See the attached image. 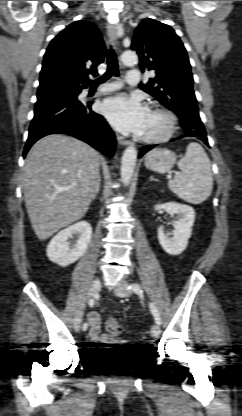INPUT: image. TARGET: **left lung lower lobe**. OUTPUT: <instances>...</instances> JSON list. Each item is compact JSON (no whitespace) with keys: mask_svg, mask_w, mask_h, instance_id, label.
<instances>
[{"mask_svg":"<svg viewBox=\"0 0 242 416\" xmlns=\"http://www.w3.org/2000/svg\"><path fill=\"white\" fill-rule=\"evenodd\" d=\"M182 127H184V126H182ZM184 128H187V129H189V131L187 132V134H185L184 136H194V137H196V138H198L199 140H201V141H203L207 146H209V144H208V141H207V136H206V134H203V133H197L195 130H194V127H192V126H188V127H184ZM182 136H180V137H178V138H175V139H172L171 141H175V140H177V139H180ZM155 146H157V145H148V146H144V147H142L141 148V151H140V154H139V158L142 156V155H144L146 152H148L149 150H151L152 148H154Z\"/></svg>","mask_w":242,"mask_h":416,"instance_id":"obj_1","label":"left lung lower lobe"}]
</instances>
